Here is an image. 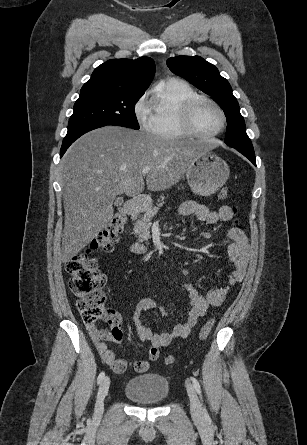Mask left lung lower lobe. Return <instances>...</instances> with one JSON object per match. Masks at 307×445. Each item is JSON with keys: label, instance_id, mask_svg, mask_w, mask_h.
Wrapping results in <instances>:
<instances>
[{"label": "left lung lower lobe", "instance_id": "1", "mask_svg": "<svg viewBox=\"0 0 307 445\" xmlns=\"http://www.w3.org/2000/svg\"><path fill=\"white\" fill-rule=\"evenodd\" d=\"M234 149H236L241 154H243L245 157H247L256 166L254 150H249V149H244V148H234Z\"/></svg>", "mask_w": 307, "mask_h": 445}]
</instances>
